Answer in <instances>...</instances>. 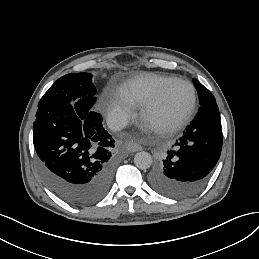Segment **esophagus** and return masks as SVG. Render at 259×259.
Returning a JSON list of instances; mask_svg holds the SVG:
<instances>
[{"mask_svg": "<svg viewBox=\"0 0 259 259\" xmlns=\"http://www.w3.org/2000/svg\"><path fill=\"white\" fill-rule=\"evenodd\" d=\"M126 147L131 152H138L142 150V147L139 144L135 143L134 141H128L126 144Z\"/></svg>", "mask_w": 259, "mask_h": 259, "instance_id": "esophagus-1", "label": "esophagus"}]
</instances>
